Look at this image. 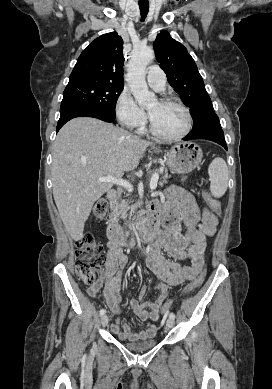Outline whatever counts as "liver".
<instances>
[{
	"instance_id": "6515ba94",
	"label": "liver",
	"mask_w": 272,
	"mask_h": 389,
	"mask_svg": "<svg viewBox=\"0 0 272 389\" xmlns=\"http://www.w3.org/2000/svg\"><path fill=\"white\" fill-rule=\"evenodd\" d=\"M153 145L104 121L79 117L58 132L52 153V189L61 220L73 240L83 238L94 203L113 185L99 178H121L137 167Z\"/></svg>"
}]
</instances>
